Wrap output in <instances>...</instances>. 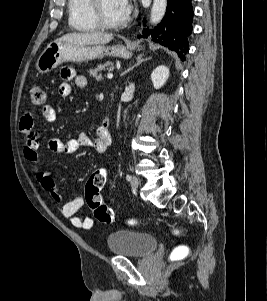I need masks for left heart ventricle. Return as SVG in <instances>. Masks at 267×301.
I'll use <instances>...</instances> for the list:
<instances>
[{
	"instance_id": "obj_1",
	"label": "left heart ventricle",
	"mask_w": 267,
	"mask_h": 301,
	"mask_svg": "<svg viewBox=\"0 0 267 301\" xmlns=\"http://www.w3.org/2000/svg\"><path fill=\"white\" fill-rule=\"evenodd\" d=\"M102 14L111 23L119 22L127 15L120 0H102Z\"/></svg>"
}]
</instances>
